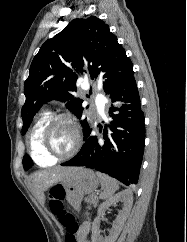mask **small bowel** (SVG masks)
<instances>
[{
    "label": "small bowel",
    "instance_id": "c3829d8e",
    "mask_svg": "<svg viewBox=\"0 0 187 242\" xmlns=\"http://www.w3.org/2000/svg\"><path fill=\"white\" fill-rule=\"evenodd\" d=\"M89 232H90V224L88 222H84L80 226V228L77 232V236L80 239V242H89L87 240V236H88Z\"/></svg>",
    "mask_w": 187,
    "mask_h": 242
}]
</instances>
